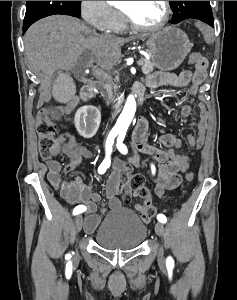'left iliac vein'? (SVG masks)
Wrapping results in <instances>:
<instances>
[{"label": "left iliac vein", "mask_w": 237, "mask_h": 300, "mask_svg": "<svg viewBox=\"0 0 237 300\" xmlns=\"http://www.w3.org/2000/svg\"><path fill=\"white\" fill-rule=\"evenodd\" d=\"M155 232L161 238H163L165 236V228L161 222H158L155 224ZM164 261H165V259H164L163 250H160L159 256H158V262L160 263L161 266H164Z\"/></svg>", "instance_id": "1"}]
</instances>
